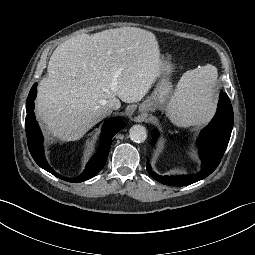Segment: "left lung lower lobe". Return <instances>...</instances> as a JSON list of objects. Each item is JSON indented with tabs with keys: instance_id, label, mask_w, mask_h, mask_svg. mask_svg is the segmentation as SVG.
<instances>
[{
	"instance_id": "1",
	"label": "left lung lower lobe",
	"mask_w": 255,
	"mask_h": 255,
	"mask_svg": "<svg viewBox=\"0 0 255 255\" xmlns=\"http://www.w3.org/2000/svg\"><path fill=\"white\" fill-rule=\"evenodd\" d=\"M233 121L231 102L227 94L221 92L217 113L210 124L202 130L199 139L202 170L194 175L161 176L152 171L150 164L147 163L148 173L162 184L175 186L189 185L205 178L217 168L221 161L231 136Z\"/></svg>"
}]
</instances>
